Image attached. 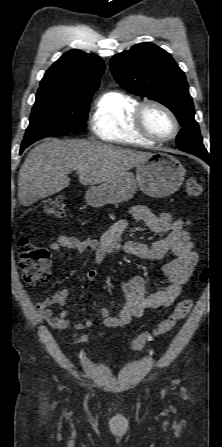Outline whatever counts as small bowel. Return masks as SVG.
I'll return each mask as SVG.
<instances>
[{"label":"small bowel","mask_w":222,"mask_h":447,"mask_svg":"<svg viewBox=\"0 0 222 447\" xmlns=\"http://www.w3.org/2000/svg\"><path fill=\"white\" fill-rule=\"evenodd\" d=\"M129 217L143 222L148 232L163 233L164 239L147 245L138 241L120 242V238L128 227V220L123 218L115 221L100 238H77L61 235L50 244L54 253L69 249L78 253L91 250L95 253V261L102 264L110 255L122 251L128 255L146 259L157 260L168 252L174 254V259L167 262L162 272L167 281L164 289L146 294L145 279L139 275L130 276L122 282L121 288L125 297V304L117 315H112L107 308L100 310L102 323L105 327H122L131 322L133 318L141 317L147 310L167 308L180 296L183 287L189 281L194 267L197 264V252L189 233L191 220L188 217L174 218L169 212L155 213L144 205H135L130 208ZM98 277L96 268L86 269V278L94 282ZM71 300V291L58 289L56 293L39 301L36 309L41 317L53 329L64 331L73 329L82 331L93 326L91 320L82 323H70L69 314L61 310L55 314L52 305L67 306ZM89 340L87 335L74 338V343H85Z\"/></svg>","instance_id":"c3829d8e"}]
</instances>
